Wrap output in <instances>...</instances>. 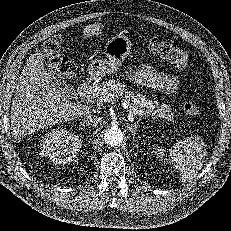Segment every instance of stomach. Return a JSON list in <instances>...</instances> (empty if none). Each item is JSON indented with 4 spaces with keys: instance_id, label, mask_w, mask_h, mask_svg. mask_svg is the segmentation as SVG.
I'll use <instances>...</instances> for the list:
<instances>
[{
    "instance_id": "obj_1",
    "label": "stomach",
    "mask_w": 231,
    "mask_h": 231,
    "mask_svg": "<svg viewBox=\"0 0 231 231\" xmlns=\"http://www.w3.org/2000/svg\"><path fill=\"white\" fill-rule=\"evenodd\" d=\"M132 42L124 35L110 38L104 46V59H94L88 66L90 79L99 82L106 74L117 73L125 58L130 54Z\"/></svg>"
}]
</instances>
